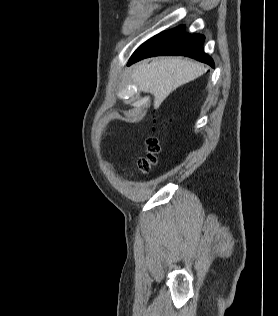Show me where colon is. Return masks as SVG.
Segmentation results:
<instances>
[{
  "mask_svg": "<svg viewBox=\"0 0 278 316\" xmlns=\"http://www.w3.org/2000/svg\"><path fill=\"white\" fill-rule=\"evenodd\" d=\"M146 148V156L141 157L137 163L138 170L143 174L149 173L152 170V168L157 164L158 155L161 151L160 144L158 140L154 137H150L147 139Z\"/></svg>",
  "mask_w": 278,
  "mask_h": 316,
  "instance_id": "5ec220e1",
  "label": "colon"
}]
</instances>
